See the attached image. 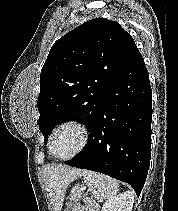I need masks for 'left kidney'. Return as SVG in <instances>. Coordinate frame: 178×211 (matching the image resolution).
I'll list each match as a JSON object with an SVG mask.
<instances>
[{
    "label": "left kidney",
    "instance_id": "left-kidney-1",
    "mask_svg": "<svg viewBox=\"0 0 178 211\" xmlns=\"http://www.w3.org/2000/svg\"><path fill=\"white\" fill-rule=\"evenodd\" d=\"M133 203V192L127 191L107 200L101 211H132Z\"/></svg>",
    "mask_w": 178,
    "mask_h": 211
}]
</instances>
